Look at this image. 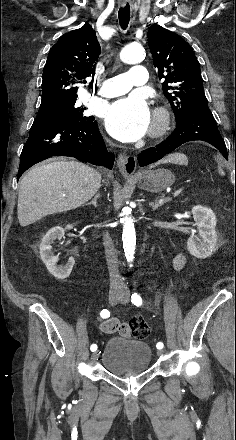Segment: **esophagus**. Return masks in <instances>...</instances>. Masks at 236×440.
Wrapping results in <instances>:
<instances>
[{
	"label": "esophagus",
	"instance_id": "34e87169",
	"mask_svg": "<svg viewBox=\"0 0 236 440\" xmlns=\"http://www.w3.org/2000/svg\"><path fill=\"white\" fill-rule=\"evenodd\" d=\"M117 164L121 174L125 178H131L134 176L136 171V158L134 156H127L124 153L119 154L117 158Z\"/></svg>",
	"mask_w": 236,
	"mask_h": 440
}]
</instances>
